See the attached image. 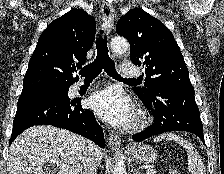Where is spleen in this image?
<instances>
[{"mask_svg":"<svg viewBox=\"0 0 224 174\" xmlns=\"http://www.w3.org/2000/svg\"><path fill=\"white\" fill-rule=\"evenodd\" d=\"M162 140H174L186 149L188 156V169L191 174H206L200 155L191 143L173 133H164L154 139V141Z\"/></svg>","mask_w":224,"mask_h":174,"instance_id":"spleen-1","label":"spleen"}]
</instances>
